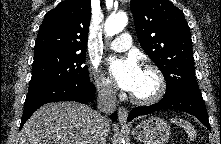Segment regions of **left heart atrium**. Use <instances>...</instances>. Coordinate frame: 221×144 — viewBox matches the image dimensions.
<instances>
[{"label": "left heart atrium", "instance_id": "1", "mask_svg": "<svg viewBox=\"0 0 221 144\" xmlns=\"http://www.w3.org/2000/svg\"><path fill=\"white\" fill-rule=\"evenodd\" d=\"M109 70L117 85L129 92L136 89L142 73V69L134 57L112 59Z\"/></svg>", "mask_w": 221, "mask_h": 144}]
</instances>
